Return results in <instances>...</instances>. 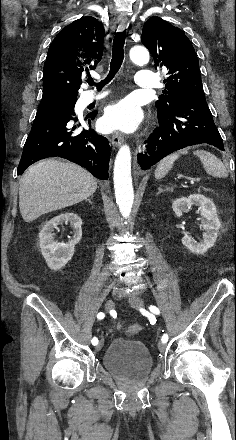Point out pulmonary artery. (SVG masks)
<instances>
[{"label": "pulmonary artery", "mask_w": 236, "mask_h": 440, "mask_svg": "<svg viewBox=\"0 0 236 440\" xmlns=\"http://www.w3.org/2000/svg\"><path fill=\"white\" fill-rule=\"evenodd\" d=\"M136 87L138 88H153L156 86V76L149 70H139L135 77ZM105 96L104 93L94 94L93 92H86L84 94V103L88 104L95 100H99Z\"/></svg>", "instance_id": "1"}]
</instances>
